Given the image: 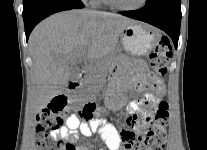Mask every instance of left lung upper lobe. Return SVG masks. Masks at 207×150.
Returning a JSON list of instances; mask_svg holds the SVG:
<instances>
[{
    "label": "left lung upper lobe",
    "mask_w": 207,
    "mask_h": 150,
    "mask_svg": "<svg viewBox=\"0 0 207 150\" xmlns=\"http://www.w3.org/2000/svg\"><path fill=\"white\" fill-rule=\"evenodd\" d=\"M153 1H155V0H146V4H149V3L153 2Z\"/></svg>",
    "instance_id": "obj_1"
}]
</instances>
